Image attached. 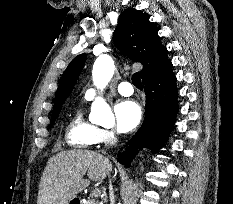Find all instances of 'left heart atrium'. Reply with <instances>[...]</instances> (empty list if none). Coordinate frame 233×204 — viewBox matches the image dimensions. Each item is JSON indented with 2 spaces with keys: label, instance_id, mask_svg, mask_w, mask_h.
<instances>
[{
  "label": "left heart atrium",
  "instance_id": "left-heart-atrium-1",
  "mask_svg": "<svg viewBox=\"0 0 233 204\" xmlns=\"http://www.w3.org/2000/svg\"><path fill=\"white\" fill-rule=\"evenodd\" d=\"M117 130L127 133L134 130L142 119L141 107L133 100H123L114 108Z\"/></svg>",
  "mask_w": 233,
  "mask_h": 204
}]
</instances>
